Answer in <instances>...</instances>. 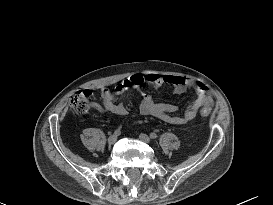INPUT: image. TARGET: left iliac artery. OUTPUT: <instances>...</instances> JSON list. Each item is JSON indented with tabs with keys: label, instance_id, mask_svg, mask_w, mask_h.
<instances>
[{
	"label": "left iliac artery",
	"instance_id": "obj_1",
	"mask_svg": "<svg viewBox=\"0 0 273 205\" xmlns=\"http://www.w3.org/2000/svg\"><path fill=\"white\" fill-rule=\"evenodd\" d=\"M158 136L156 133H150V138L151 139H156Z\"/></svg>",
	"mask_w": 273,
	"mask_h": 205
}]
</instances>
